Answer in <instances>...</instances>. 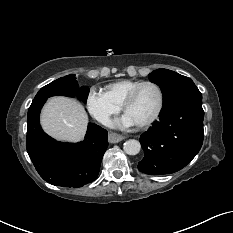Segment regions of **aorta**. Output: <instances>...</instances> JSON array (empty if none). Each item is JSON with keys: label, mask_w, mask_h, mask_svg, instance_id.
<instances>
[{"label": "aorta", "mask_w": 233, "mask_h": 233, "mask_svg": "<svg viewBox=\"0 0 233 233\" xmlns=\"http://www.w3.org/2000/svg\"><path fill=\"white\" fill-rule=\"evenodd\" d=\"M123 149L128 155H136L140 152L141 145L139 141L129 139L124 143Z\"/></svg>", "instance_id": "aorta-1"}]
</instances>
